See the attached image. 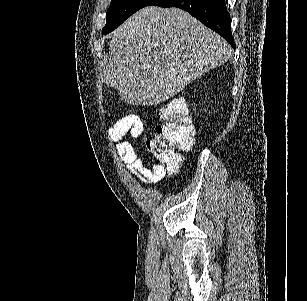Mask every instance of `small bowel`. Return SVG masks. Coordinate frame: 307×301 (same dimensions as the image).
<instances>
[{
    "label": "small bowel",
    "mask_w": 307,
    "mask_h": 301,
    "mask_svg": "<svg viewBox=\"0 0 307 301\" xmlns=\"http://www.w3.org/2000/svg\"><path fill=\"white\" fill-rule=\"evenodd\" d=\"M142 132L143 122L136 115L120 119L108 130L109 137L115 143L116 152L123 163L142 184L148 185L160 180L165 171L158 163L148 168L138 158L132 140L138 138ZM126 136H129V139H126Z\"/></svg>",
    "instance_id": "1"
}]
</instances>
